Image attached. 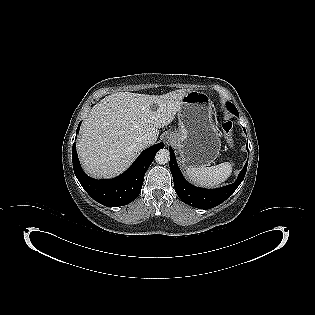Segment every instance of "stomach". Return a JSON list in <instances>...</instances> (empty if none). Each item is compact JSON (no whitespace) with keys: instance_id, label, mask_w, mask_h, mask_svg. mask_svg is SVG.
<instances>
[{"instance_id":"0dacf381","label":"stomach","mask_w":315,"mask_h":315,"mask_svg":"<svg viewBox=\"0 0 315 315\" xmlns=\"http://www.w3.org/2000/svg\"><path fill=\"white\" fill-rule=\"evenodd\" d=\"M212 102L204 92L190 91L178 111L179 129L172 132L184 168L208 166L219 155L220 134L212 120Z\"/></svg>"}]
</instances>
